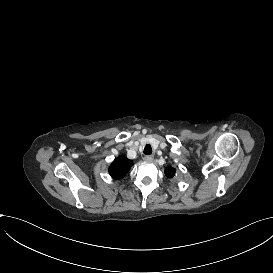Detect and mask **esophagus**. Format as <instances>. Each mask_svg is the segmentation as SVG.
Listing matches in <instances>:
<instances>
[{
  "label": "esophagus",
  "instance_id": "1",
  "mask_svg": "<svg viewBox=\"0 0 273 273\" xmlns=\"http://www.w3.org/2000/svg\"><path fill=\"white\" fill-rule=\"evenodd\" d=\"M153 158H154V157H153L152 155H146V156L144 157L145 161H147V162H152Z\"/></svg>",
  "mask_w": 273,
  "mask_h": 273
}]
</instances>
